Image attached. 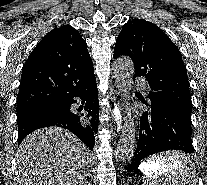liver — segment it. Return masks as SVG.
Instances as JSON below:
<instances>
[{
	"label": "liver",
	"mask_w": 207,
	"mask_h": 185,
	"mask_svg": "<svg viewBox=\"0 0 207 185\" xmlns=\"http://www.w3.org/2000/svg\"><path fill=\"white\" fill-rule=\"evenodd\" d=\"M91 157L90 149L68 129H37L19 145L12 185H82Z\"/></svg>",
	"instance_id": "1"
}]
</instances>
